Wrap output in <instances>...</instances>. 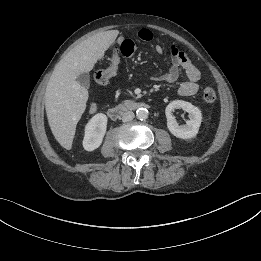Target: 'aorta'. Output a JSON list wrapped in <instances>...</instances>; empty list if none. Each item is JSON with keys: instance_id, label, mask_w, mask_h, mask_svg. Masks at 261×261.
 I'll list each match as a JSON object with an SVG mask.
<instances>
[{"instance_id": "obj_1", "label": "aorta", "mask_w": 261, "mask_h": 261, "mask_svg": "<svg viewBox=\"0 0 261 261\" xmlns=\"http://www.w3.org/2000/svg\"><path fill=\"white\" fill-rule=\"evenodd\" d=\"M136 116L139 120H145L148 118V110L146 108H138Z\"/></svg>"}]
</instances>
